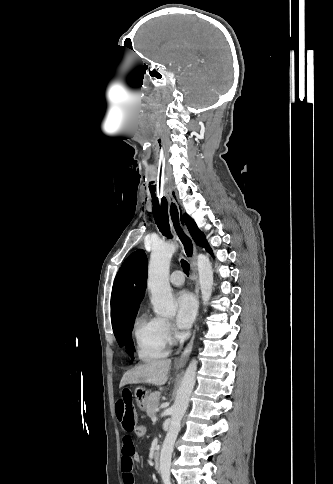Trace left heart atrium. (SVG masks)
I'll list each match as a JSON object with an SVG mask.
<instances>
[{"instance_id": "1", "label": "left heart atrium", "mask_w": 333, "mask_h": 484, "mask_svg": "<svg viewBox=\"0 0 333 484\" xmlns=\"http://www.w3.org/2000/svg\"><path fill=\"white\" fill-rule=\"evenodd\" d=\"M175 304L177 326L187 329L195 318L197 303L191 293L180 291L175 296Z\"/></svg>"}]
</instances>
